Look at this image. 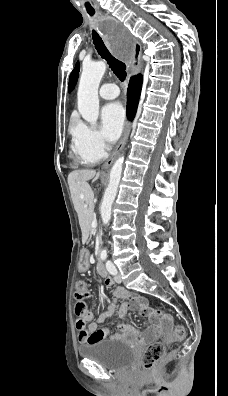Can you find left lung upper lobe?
<instances>
[{
	"instance_id": "obj_1",
	"label": "left lung upper lobe",
	"mask_w": 228,
	"mask_h": 396,
	"mask_svg": "<svg viewBox=\"0 0 228 396\" xmlns=\"http://www.w3.org/2000/svg\"><path fill=\"white\" fill-rule=\"evenodd\" d=\"M79 62L76 63L74 70L71 72L70 78H69V92H71L78 80L79 76Z\"/></svg>"
}]
</instances>
